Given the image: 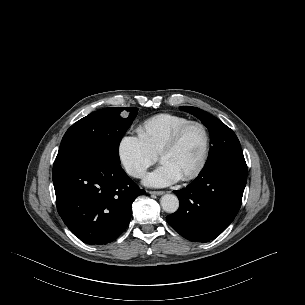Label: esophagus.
Returning a JSON list of instances; mask_svg holds the SVG:
<instances>
[{"instance_id":"obj_1","label":"esophagus","mask_w":305,"mask_h":305,"mask_svg":"<svg viewBox=\"0 0 305 305\" xmlns=\"http://www.w3.org/2000/svg\"><path fill=\"white\" fill-rule=\"evenodd\" d=\"M149 193L152 195L160 196V195H163L165 192L164 191H149Z\"/></svg>"}]
</instances>
